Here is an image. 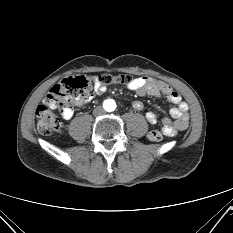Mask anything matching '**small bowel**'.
Instances as JSON below:
<instances>
[{"mask_svg": "<svg viewBox=\"0 0 233 233\" xmlns=\"http://www.w3.org/2000/svg\"><path fill=\"white\" fill-rule=\"evenodd\" d=\"M126 89L134 91L138 96H152L155 98H166L173 107L170 108V117L165 116L161 119L162 132L164 135L173 137L178 132L185 130L189 123L188 105L182 100L179 93L171 88L167 83L158 80L154 77L139 76L136 77L131 83L127 84ZM107 86L100 81H95L93 84L92 96L87 100L80 102L79 105L89 103L95 96L104 93ZM133 107L136 110H141L143 104L140 101L133 102ZM61 116L68 120L73 114L72 107H63L59 109ZM146 119L149 124L156 125L159 123L157 115L149 111L146 113Z\"/></svg>", "mask_w": 233, "mask_h": 233, "instance_id": "small-bowel-1", "label": "small bowel"}]
</instances>
